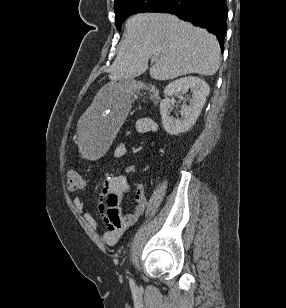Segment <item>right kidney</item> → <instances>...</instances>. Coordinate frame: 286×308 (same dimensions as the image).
<instances>
[{
	"label": "right kidney",
	"mask_w": 286,
	"mask_h": 308,
	"mask_svg": "<svg viewBox=\"0 0 286 308\" xmlns=\"http://www.w3.org/2000/svg\"><path fill=\"white\" fill-rule=\"evenodd\" d=\"M188 90L192 93L189 105L181 107V118L170 116L172 104L169 97L177 94H184ZM208 84L198 77H183L177 79L164 89L165 99L160 102V114L165 131L170 135H179L189 131L195 124L209 94Z\"/></svg>",
	"instance_id": "1"
}]
</instances>
